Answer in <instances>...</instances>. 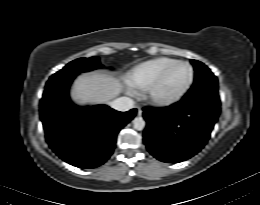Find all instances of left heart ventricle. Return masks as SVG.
I'll use <instances>...</instances> for the list:
<instances>
[{"label":"left heart ventricle","mask_w":260,"mask_h":205,"mask_svg":"<svg viewBox=\"0 0 260 205\" xmlns=\"http://www.w3.org/2000/svg\"><path fill=\"white\" fill-rule=\"evenodd\" d=\"M190 69L184 64L174 66L156 90L160 97H170L180 92L189 82Z\"/></svg>","instance_id":"b2bd125f"}]
</instances>
